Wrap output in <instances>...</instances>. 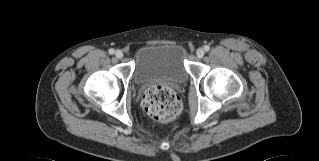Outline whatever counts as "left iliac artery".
<instances>
[{
	"label": "left iliac artery",
	"mask_w": 319,
	"mask_h": 161,
	"mask_svg": "<svg viewBox=\"0 0 319 161\" xmlns=\"http://www.w3.org/2000/svg\"><path fill=\"white\" fill-rule=\"evenodd\" d=\"M204 50L205 51H209L210 50V47L208 45L204 46Z\"/></svg>",
	"instance_id": "1"
}]
</instances>
